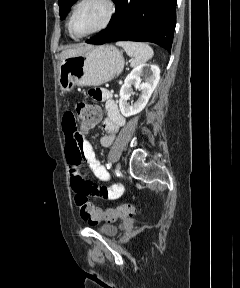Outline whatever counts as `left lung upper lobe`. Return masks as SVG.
<instances>
[{
    "label": "left lung upper lobe",
    "mask_w": 240,
    "mask_h": 288,
    "mask_svg": "<svg viewBox=\"0 0 240 288\" xmlns=\"http://www.w3.org/2000/svg\"><path fill=\"white\" fill-rule=\"evenodd\" d=\"M77 0H59L58 4L60 6V18L64 19L69 11V8L76 2Z\"/></svg>",
    "instance_id": "left-lung-upper-lobe-1"
}]
</instances>
